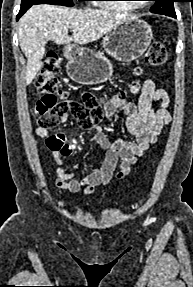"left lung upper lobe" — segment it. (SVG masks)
<instances>
[{
  "label": "left lung upper lobe",
  "instance_id": "1",
  "mask_svg": "<svg viewBox=\"0 0 193 287\" xmlns=\"http://www.w3.org/2000/svg\"><path fill=\"white\" fill-rule=\"evenodd\" d=\"M156 1L154 6L150 9L152 13L171 15L175 13L173 3L176 0H153Z\"/></svg>",
  "mask_w": 193,
  "mask_h": 287
}]
</instances>
